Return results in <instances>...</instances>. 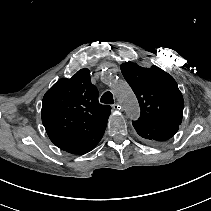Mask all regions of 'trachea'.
Here are the masks:
<instances>
[{
  "instance_id": "1",
  "label": "trachea",
  "mask_w": 211,
  "mask_h": 211,
  "mask_svg": "<svg viewBox=\"0 0 211 211\" xmlns=\"http://www.w3.org/2000/svg\"><path fill=\"white\" fill-rule=\"evenodd\" d=\"M100 101H101L102 103H105V104H113V103H114V99H113L112 93H111V92H105V93L102 95Z\"/></svg>"
}]
</instances>
